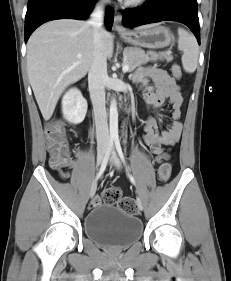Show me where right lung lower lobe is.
<instances>
[{"mask_svg":"<svg viewBox=\"0 0 231 281\" xmlns=\"http://www.w3.org/2000/svg\"><path fill=\"white\" fill-rule=\"evenodd\" d=\"M97 0H28L25 16V42L33 31L43 23L56 19H86ZM113 10L107 9L105 23L107 30L113 24Z\"/></svg>","mask_w":231,"mask_h":281,"instance_id":"98d812e1","label":"right lung lower lobe"}]
</instances>
